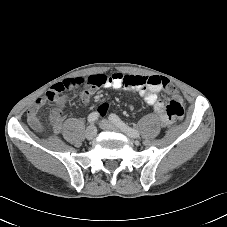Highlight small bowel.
<instances>
[{"instance_id": "small-bowel-1", "label": "small bowel", "mask_w": 227, "mask_h": 227, "mask_svg": "<svg viewBox=\"0 0 227 227\" xmlns=\"http://www.w3.org/2000/svg\"><path fill=\"white\" fill-rule=\"evenodd\" d=\"M151 77L159 76H134L120 73L108 75L106 72H99L97 74H88L85 77L67 78L63 81H58L56 84H52L46 91V94L39 97L29 108L27 112L28 123L35 130L42 131L44 127L39 118V110L47 102L53 101L56 103V108L51 112L50 119L54 130L58 132L63 122L61 110L66 102V97L62 96L64 93L85 88L80 94V99L86 105L91 101L94 89L109 87L137 91L145 103L153 107L164 123L181 119L184 109L183 98L173 93L167 103H164L157 95L158 91L162 88L161 85L147 83Z\"/></svg>"}]
</instances>
